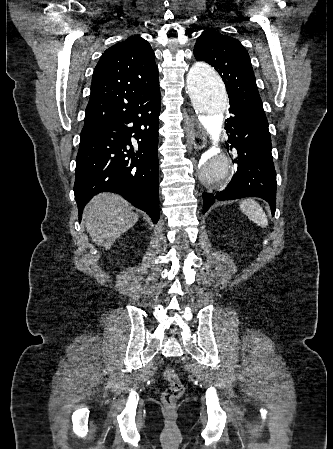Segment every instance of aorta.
Returning a JSON list of instances; mask_svg holds the SVG:
<instances>
[{
	"instance_id": "aorta-1",
	"label": "aorta",
	"mask_w": 333,
	"mask_h": 449,
	"mask_svg": "<svg viewBox=\"0 0 333 449\" xmlns=\"http://www.w3.org/2000/svg\"><path fill=\"white\" fill-rule=\"evenodd\" d=\"M186 91L200 121L221 122L228 105L224 84L215 69L207 63L197 62L190 68ZM212 134L219 135L213 128ZM230 158L220 149L203 153L194 166L196 181L209 191L225 188L230 173Z\"/></svg>"
}]
</instances>
